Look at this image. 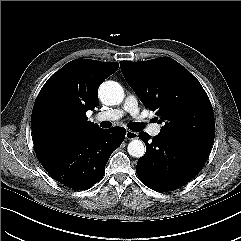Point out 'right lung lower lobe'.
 I'll return each mask as SVG.
<instances>
[{
	"label": "right lung lower lobe",
	"mask_w": 241,
	"mask_h": 241,
	"mask_svg": "<svg viewBox=\"0 0 241 241\" xmlns=\"http://www.w3.org/2000/svg\"><path fill=\"white\" fill-rule=\"evenodd\" d=\"M122 127L98 129L69 143L36 152L55 180L75 190L92 187L105 173V166L125 138Z\"/></svg>",
	"instance_id": "98d812e1"
}]
</instances>
